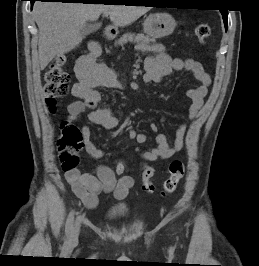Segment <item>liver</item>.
<instances>
[{"label": "liver", "mask_w": 259, "mask_h": 266, "mask_svg": "<svg viewBox=\"0 0 259 266\" xmlns=\"http://www.w3.org/2000/svg\"><path fill=\"white\" fill-rule=\"evenodd\" d=\"M150 10L145 6L36 2L33 7L39 28L38 53L41 69L59 55L78 46L84 35L81 28L88 21L98 20L101 13L109 12L115 27L134 23Z\"/></svg>", "instance_id": "1"}]
</instances>
